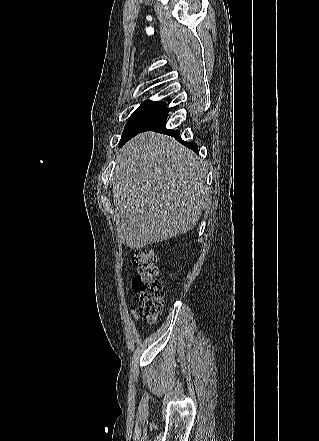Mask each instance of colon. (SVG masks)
Returning a JSON list of instances; mask_svg holds the SVG:
<instances>
[{
	"label": "colon",
	"mask_w": 319,
	"mask_h": 441,
	"mask_svg": "<svg viewBox=\"0 0 319 441\" xmlns=\"http://www.w3.org/2000/svg\"><path fill=\"white\" fill-rule=\"evenodd\" d=\"M137 274L132 288L140 304V315L148 323L157 320L164 306V292L158 279L156 254L152 249H138L132 256Z\"/></svg>",
	"instance_id": "colon-1"
}]
</instances>
